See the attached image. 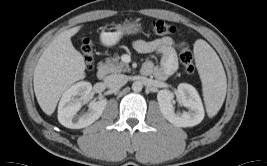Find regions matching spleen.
Instances as JSON below:
<instances>
[{
    "instance_id": "3e777b00",
    "label": "spleen",
    "mask_w": 267,
    "mask_h": 166,
    "mask_svg": "<svg viewBox=\"0 0 267 166\" xmlns=\"http://www.w3.org/2000/svg\"><path fill=\"white\" fill-rule=\"evenodd\" d=\"M194 53L202 82L206 111L209 117H213L225 100L227 90L225 71L215 51L204 40L195 43Z\"/></svg>"
}]
</instances>
